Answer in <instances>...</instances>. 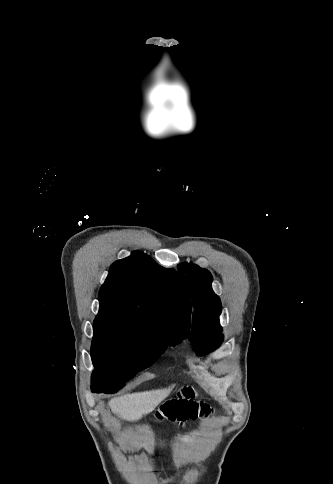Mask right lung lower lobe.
Segmentation results:
<instances>
[{
    "mask_svg": "<svg viewBox=\"0 0 333 484\" xmlns=\"http://www.w3.org/2000/svg\"><path fill=\"white\" fill-rule=\"evenodd\" d=\"M93 392H101V391H97V390H92Z\"/></svg>",
    "mask_w": 333,
    "mask_h": 484,
    "instance_id": "98d812e1",
    "label": "right lung lower lobe"
}]
</instances>
